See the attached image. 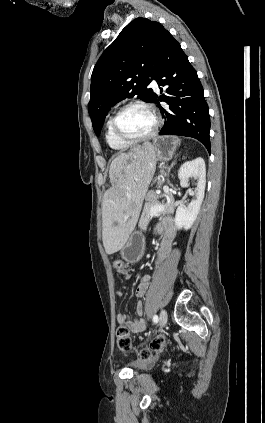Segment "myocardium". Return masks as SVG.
<instances>
[{"label": "myocardium", "instance_id": "f54148a6", "mask_svg": "<svg viewBox=\"0 0 265 423\" xmlns=\"http://www.w3.org/2000/svg\"><path fill=\"white\" fill-rule=\"evenodd\" d=\"M142 108L144 110H146L153 118L154 120V125L153 128L151 129V131L149 133H147L144 136L141 137H129L127 135H125L124 133L121 132L120 128H119V119L121 117V115L128 109L130 108ZM161 125V120L160 117L158 116L157 112L155 111V109L148 103L142 102V101H133L130 103L125 104L124 106H122L113 116L112 118V122H111V127H112V131L115 135L116 138H118L120 141L124 142V143H128V144H137V143H141L147 140H150L151 138H153Z\"/></svg>", "mask_w": 265, "mask_h": 423}]
</instances>
